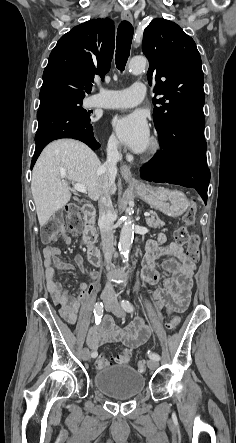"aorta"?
<instances>
[{
  "mask_svg": "<svg viewBox=\"0 0 236 443\" xmlns=\"http://www.w3.org/2000/svg\"><path fill=\"white\" fill-rule=\"evenodd\" d=\"M147 65L145 57H134L129 63V70L131 73L137 75L144 71ZM134 228L133 221L129 215L126 214L119 239V251L123 257V261L128 260V254L133 242Z\"/></svg>",
  "mask_w": 236,
  "mask_h": 443,
  "instance_id": "aorta-1",
  "label": "aorta"
}]
</instances>
